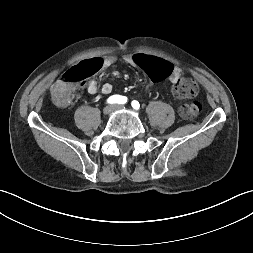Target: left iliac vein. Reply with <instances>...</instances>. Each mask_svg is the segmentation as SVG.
<instances>
[{
    "label": "left iliac vein",
    "mask_w": 253,
    "mask_h": 253,
    "mask_svg": "<svg viewBox=\"0 0 253 253\" xmlns=\"http://www.w3.org/2000/svg\"><path fill=\"white\" fill-rule=\"evenodd\" d=\"M114 109H115V110L125 109V106H123V105H115V106H114Z\"/></svg>",
    "instance_id": "4c4485c4"
}]
</instances>
